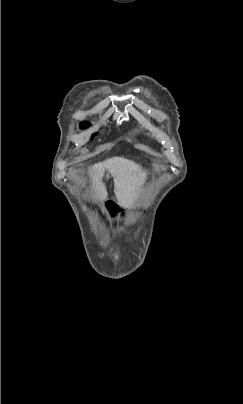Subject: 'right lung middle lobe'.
<instances>
[{
    "mask_svg": "<svg viewBox=\"0 0 243 404\" xmlns=\"http://www.w3.org/2000/svg\"><path fill=\"white\" fill-rule=\"evenodd\" d=\"M90 124L88 122H82L81 128H87ZM95 135V134H94Z\"/></svg>",
    "mask_w": 243,
    "mask_h": 404,
    "instance_id": "dd1d6c3e",
    "label": "right lung middle lobe"
}]
</instances>
